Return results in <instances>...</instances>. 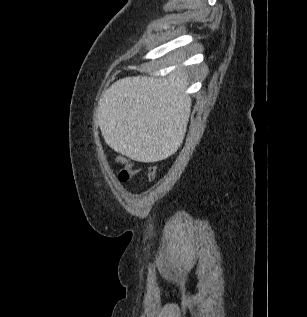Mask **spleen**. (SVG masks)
<instances>
[{"instance_id": "obj_1", "label": "spleen", "mask_w": 307, "mask_h": 317, "mask_svg": "<svg viewBox=\"0 0 307 317\" xmlns=\"http://www.w3.org/2000/svg\"><path fill=\"white\" fill-rule=\"evenodd\" d=\"M185 77L124 78L103 95L98 121L106 143L134 160H165L182 148L191 100Z\"/></svg>"}]
</instances>
